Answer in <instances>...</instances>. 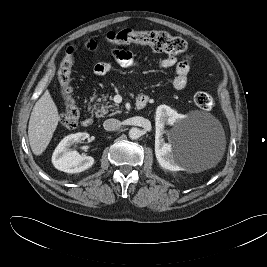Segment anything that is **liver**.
Returning <instances> with one entry per match:
<instances>
[{
    "label": "liver",
    "instance_id": "1",
    "mask_svg": "<svg viewBox=\"0 0 267 267\" xmlns=\"http://www.w3.org/2000/svg\"><path fill=\"white\" fill-rule=\"evenodd\" d=\"M59 120L57 106L46 90L35 103L28 125L30 147L36 156L41 155L47 148Z\"/></svg>",
    "mask_w": 267,
    "mask_h": 267
}]
</instances>
